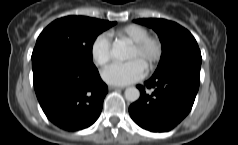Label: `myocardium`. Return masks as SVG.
<instances>
[{"instance_id": "myocardium-1", "label": "myocardium", "mask_w": 238, "mask_h": 145, "mask_svg": "<svg viewBox=\"0 0 238 145\" xmlns=\"http://www.w3.org/2000/svg\"><path fill=\"white\" fill-rule=\"evenodd\" d=\"M131 47L138 53L143 54L148 51L145 68L151 70L159 61L162 54V44L158 37L147 35L141 40L133 43Z\"/></svg>"}]
</instances>
